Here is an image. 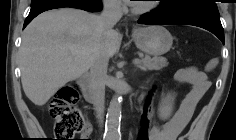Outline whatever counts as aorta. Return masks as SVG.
Instances as JSON below:
<instances>
[{"label":"aorta","mask_w":236,"mask_h":140,"mask_svg":"<svg viewBox=\"0 0 236 140\" xmlns=\"http://www.w3.org/2000/svg\"><path fill=\"white\" fill-rule=\"evenodd\" d=\"M122 96L117 92L108 107L105 125V139L106 140H119L120 134V121H121V106Z\"/></svg>","instance_id":"1"}]
</instances>
